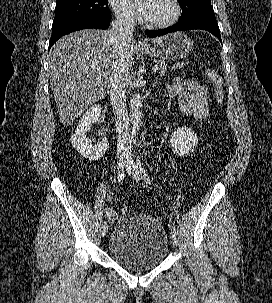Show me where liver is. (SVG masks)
<instances>
[{
  "label": "liver",
  "mask_w": 272,
  "mask_h": 303,
  "mask_svg": "<svg viewBox=\"0 0 272 303\" xmlns=\"http://www.w3.org/2000/svg\"><path fill=\"white\" fill-rule=\"evenodd\" d=\"M162 37L151 39L157 42ZM136 51L127 47L129 65ZM116 48L111 29H84L60 38L49 53V73L60 121L71 125L111 88Z\"/></svg>",
  "instance_id": "liver-1"
}]
</instances>
